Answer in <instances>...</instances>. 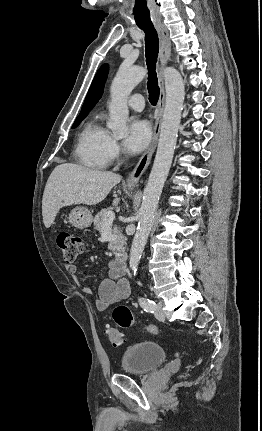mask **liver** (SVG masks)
Wrapping results in <instances>:
<instances>
[{
	"mask_svg": "<svg viewBox=\"0 0 262 431\" xmlns=\"http://www.w3.org/2000/svg\"><path fill=\"white\" fill-rule=\"evenodd\" d=\"M121 176L73 163H63L50 174L42 199L43 223L49 228L64 206L95 205L120 183Z\"/></svg>",
	"mask_w": 262,
	"mask_h": 431,
	"instance_id": "liver-1",
	"label": "liver"
}]
</instances>
